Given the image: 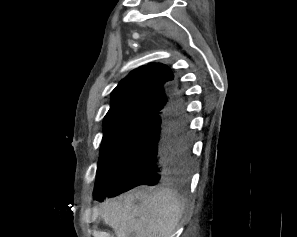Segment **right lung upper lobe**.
<instances>
[{
    "instance_id": "1",
    "label": "right lung upper lobe",
    "mask_w": 297,
    "mask_h": 237,
    "mask_svg": "<svg viewBox=\"0 0 297 237\" xmlns=\"http://www.w3.org/2000/svg\"><path fill=\"white\" fill-rule=\"evenodd\" d=\"M175 90L174 75L166 65L141 66L131 71L112 91L103 125L129 117L152 118L166 109Z\"/></svg>"
}]
</instances>
